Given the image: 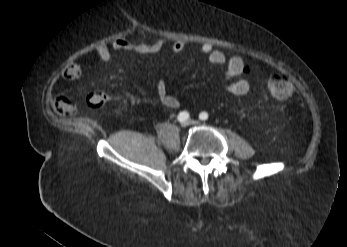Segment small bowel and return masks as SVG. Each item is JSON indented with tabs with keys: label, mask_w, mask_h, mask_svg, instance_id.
Instances as JSON below:
<instances>
[{
	"label": "small bowel",
	"mask_w": 347,
	"mask_h": 247,
	"mask_svg": "<svg viewBox=\"0 0 347 247\" xmlns=\"http://www.w3.org/2000/svg\"><path fill=\"white\" fill-rule=\"evenodd\" d=\"M167 45H170L172 52L181 53L186 47L182 40H154L145 39L130 40L119 38L114 41L111 47L107 44H99L95 52L102 62H108L111 58V50L132 51L140 55L148 56L161 52ZM200 51L207 56L210 64L224 68L225 89L234 96H244L249 93L251 83L248 78L249 68L244 59L239 55L227 56L222 50L217 49L210 43L200 45ZM83 74V69L78 63H70L63 70V76L69 79H79ZM156 94L160 102L167 108H178L180 101L173 95L168 94V87L164 80H158L155 84ZM51 107L53 111L64 117L76 114V106L65 96L56 97Z\"/></svg>",
	"instance_id": "1"
}]
</instances>
